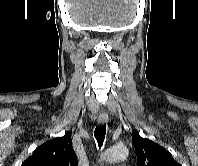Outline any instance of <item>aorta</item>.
<instances>
[{"label": "aorta", "mask_w": 198, "mask_h": 166, "mask_svg": "<svg viewBox=\"0 0 198 166\" xmlns=\"http://www.w3.org/2000/svg\"><path fill=\"white\" fill-rule=\"evenodd\" d=\"M129 151L124 145H115L107 149L102 155V160L106 162L122 161L128 157Z\"/></svg>", "instance_id": "obj_1"}]
</instances>
